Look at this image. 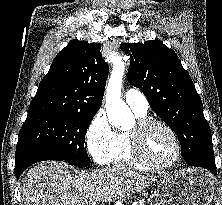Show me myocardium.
<instances>
[{"label": "myocardium", "mask_w": 222, "mask_h": 205, "mask_svg": "<svg viewBox=\"0 0 222 205\" xmlns=\"http://www.w3.org/2000/svg\"><path fill=\"white\" fill-rule=\"evenodd\" d=\"M153 126H160L163 129H165L174 141L175 155L174 158L169 163L166 164L156 163L147 155L144 149V135L146 131ZM129 136L131 139L132 150L135 157L149 168L155 170H169L175 167L181 158L180 140L174 129L169 124H167L162 120L154 118H142L138 120L133 129L129 131Z\"/></svg>", "instance_id": "myocardium-1"}]
</instances>
